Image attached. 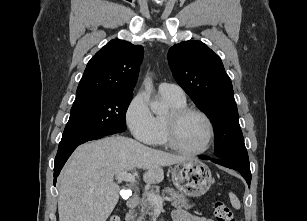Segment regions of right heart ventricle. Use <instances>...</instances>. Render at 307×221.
Returning a JSON list of instances; mask_svg holds the SVG:
<instances>
[{"mask_svg": "<svg viewBox=\"0 0 307 221\" xmlns=\"http://www.w3.org/2000/svg\"><path fill=\"white\" fill-rule=\"evenodd\" d=\"M162 97L169 103L172 109L186 106L185 100L179 101L165 96ZM165 117L163 115H157L155 117V136L153 140V144L155 145H165Z\"/></svg>", "mask_w": 307, "mask_h": 221, "instance_id": "e07e8e85", "label": "right heart ventricle"}]
</instances>
